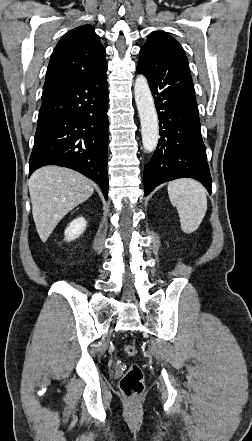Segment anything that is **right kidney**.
Here are the masks:
<instances>
[{
  "instance_id": "ca27d5eb",
  "label": "right kidney",
  "mask_w": 252,
  "mask_h": 441,
  "mask_svg": "<svg viewBox=\"0 0 252 441\" xmlns=\"http://www.w3.org/2000/svg\"><path fill=\"white\" fill-rule=\"evenodd\" d=\"M86 226L87 221L85 220V218L78 217L74 219L65 229V240L71 241L77 239L85 231Z\"/></svg>"
}]
</instances>
